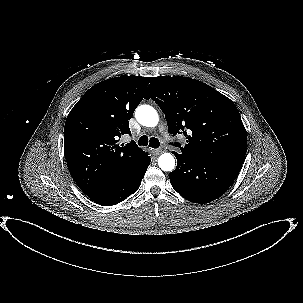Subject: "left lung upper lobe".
I'll list each match as a JSON object with an SVG mask.
<instances>
[{"instance_id":"1","label":"left lung upper lobe","mask_w":303,"mask_h":303,"mask_svg":"<svg viewBox=\"0 0 303 303\" xmlns=\"http://www.w3.org/2000/svg\"><path fill=\"white\" fill-rule=\"evenodd\" d=\"M145 98L165 114L169 132L184 134L181 154L196 159L244 162L247 132L235 104L209 85L181 76H159Z\"/></svg>"}]
</instances>
